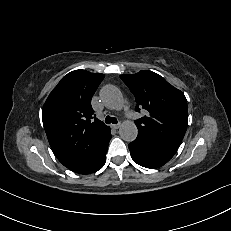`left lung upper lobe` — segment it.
<instances>
[{
	"mask_svg": "<svg viewBox=\"0 0 231 231\" xmlns=\"http://www.w3.org/2000/svg\"><path fill=\"white\" fill-rule=\"evenodd\" d=\"M135 95L136 111L147 110V115L135 121L138 136L179 147L188 123L185 95L162 76L152 71L120 75Z\"/></svg>",
	"mask_w": 231,
	"mask_h": 231,
	"instance_id": "obj_1",
	"label": "left lung upper lobe"
}]
</instances>
